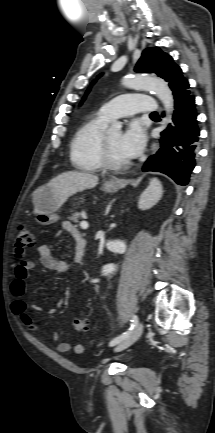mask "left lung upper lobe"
Instances as JSON below:
<instances>
[{
	"label": "left lung upper lobe",
	"instance_id": "5c2ea615",
	"mask_svg": "<svg viewBox=\"0 0 215 433\" xmlns=\"http://www.w3.org/2000/svg\"><path fill=\"white\" fill-rule=\"evenodd\" d=\"M135 71L139 73H156L169 83L171 87L174 82L182 78L181 68L173 62L170 55L162 52L159 48H147L143 51ZM99 75L98 77H100ZM95 83V80L92 84ZM90 89L87 90L86 94ZM85 97L83 98V100Z\"/></svg>",
	"mask_w": 215,
	"mask_h": 433
}]
</instances>
